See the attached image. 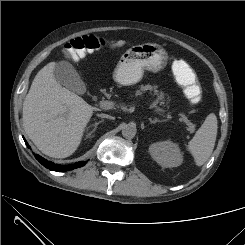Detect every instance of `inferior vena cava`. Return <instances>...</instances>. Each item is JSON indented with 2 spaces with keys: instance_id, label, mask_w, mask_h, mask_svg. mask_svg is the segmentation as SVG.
Returning <instances> with one entry per match:
<instances>
[{
  "instance_id": "inferior-vena-cava-1",
  "label": "inferior vena cava",
  "mask_w": 245,
  "mask_h": 245,
  "mask_svg": "<svg viewBox=\"0 0 245 245\" xmlns=\"http://www.w3.org/2000/svg\"><path fill=\"white\" fill-rule=\"evenodd\" d=\"M98 117H101V118H108V119H114V117L110 116V115H107V114H97Z\"/></svg>"
}]
</instances>
